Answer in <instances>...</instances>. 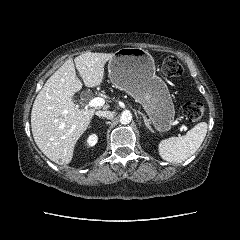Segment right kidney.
I'll return each mask as SVG.
<instances>
[{
    "label": "right kidney",
    "mask_w": 240,
    "mask_h": 240,
    "mask_svg": "<svg viewBox=\"0 0 240 240\" xmlns=\"http://www.w3.org/2000/svg\"><path fill=\"white\" fill-rule=\"evenodd\" d=\"M97 140L98 137L95 134L90 135L87 139V144L92 147L97 143Z\"/></svg>",
    "instance_id": "obj_1"
}]
</instances>
